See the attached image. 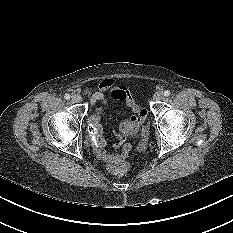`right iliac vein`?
I'll list each match as a JSON object with an SVG mask.
<instances>
[{"mask_svg": "<svg viewBox=\"0 0 233 233\" xmlns=\"http://www.w3.org/2000/svg\"><path fill=\"white\" fill-rule=\"evenodd\" d=\"M71 100L74 103H78L81 101V97L79 95H72Z\"/></svg>", "mask_w": 233, "mask_h": 233, "instance_id": "right-iliac-vein-1", "label": "right iliac vein"}]
</instances>
